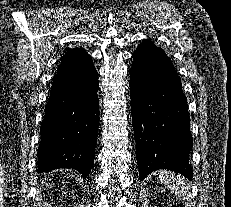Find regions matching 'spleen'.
Returning a JSON list of instances; mask_svg holds the SVG:
<instances>
[{
	"label": "spleen",
	"instance_id": "spleen-1",
	"mask_svg": "<svg viewBox=\"0 0 231 207\" xmlns=\"http://www.w3.org/2000/svg\"><path fill=\"white\" fill-rule=\"evenodd\" d=\"M158 180L163 182L170 190L180 194L184 200L188 199L187 188L183 179L172 171H158Z\"/></svg>",
	"mask_w": 231,
	"mask_h": 207
}]
</instances>
